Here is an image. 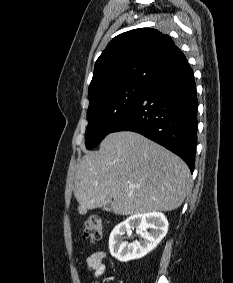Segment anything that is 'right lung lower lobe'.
Wrapping results in <instances>:
<instances>
[{"label": "right lung lower lobe", "mask_w": 233, "mask_h": 283, "mask_svg": "<svg viewBox=\"0 0 233 283\" xmlns=\"http://www.w3.org/2000/svg\"><path fill=\"white\" fill-rule=\"evenodd\" d=\"M197 108L194 75L185 58L152 80L111 132L140 133L180 156L193 172Z\"/></svg>", "instance_id": "obj_1"}]
</instances>
